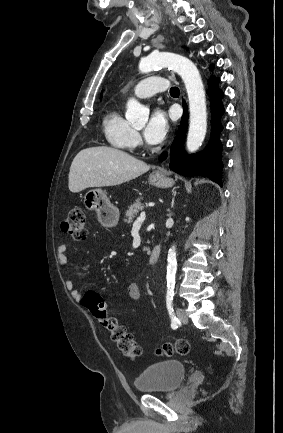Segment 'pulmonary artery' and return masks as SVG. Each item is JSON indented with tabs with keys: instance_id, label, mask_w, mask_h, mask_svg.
Listing matches in <instances>:
<instances>
[{
	"instance_id": "1",
	"label": "pulmonary artery",
	"mask_w": 283,
	"mask_h": 433,
	"mask_svg": "<svg viewBox=\"0 0 283 433\" xmlns=\"http://www.w3.org/2000/svg\"><path fill=\"white\" fill-rule=\"evenodd\" d=\"M169 88L168 80L163 78L160 72H157L153 77L138 82L132 89V95L139 98L150 97L157 92H166Z\"/></svg>"
}]
</instances>
